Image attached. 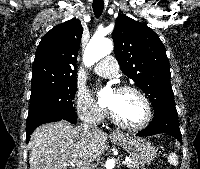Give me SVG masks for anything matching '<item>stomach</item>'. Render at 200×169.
Listing matches in <instances>:
<instances>
[{
  "instance_id": "1",
  "label": "stomach",
  "mask_w": 200,
  "mask_h": 169,
  "mask_svg": "<svg viewBox=\"0 0 200 169\" xmlns=\"http://www.w3.org/2000/svg\"><path fill=\"white\" fill-rule=\"evenodd\" d=\"M114 141L121 144L127 150L131 160L139 166L150 164L156 156V149L143 138L123 136Z\"/></svg>"
}]
</instances>
